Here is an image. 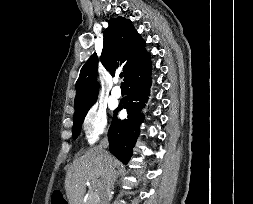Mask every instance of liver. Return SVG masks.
Instances as JSON below:
<instances>
[{
    "instance_id": "obj_1",
    "label": "liver",
    "mask_w": 253,
    "mask_h": 204,
    "mask_svg": "<svg viewBox=\"0 0 253 204\" xmlns=\"http://www.w3.org/2000/svg\"><path fill=\"white\" fill-rule=\"evenodd\" d=\"M110 157L113 161L111 155ZM104 175V154L98 147L89 149L84 155L76 159L65 177V190L69 204H83L86 183L98 178L102 183Z\"/></svg>"
}]
</instances>
